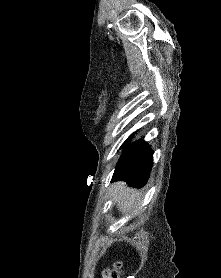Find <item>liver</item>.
<instances>
[{
	"mask_svg": "<svg viewBox=\"0 0 221 278\" xmlns=\"http://www.w3.org/2000/svg\"><path fill=\"white\" fill-rule=\"evenodd\" d=\"M112 196L118 210L124 214L134 211L139 203L137 191L129 188L123 181L114 184Z\"/></svg>",
	"mask_w": 221,
	"mask_h": 278,
	"instance_id": "1",
	"label": "liver"
}]
</instances>
